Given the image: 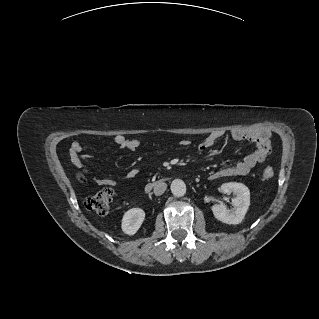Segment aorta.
<instances>
[{
	"label": "aorta",
	"mask_w": 319,
	"mask_h": 319,
	"mask_svg": "<svg viewBox=\"0 0 319 319\" xmlns=\"http://www.w3.org/2000/svg\"><path fill=\"white\" fill-rule=\"evenodd\" d=\"M170 187L172 194L176 197H182L186 193V184L181 179H174Z\"/></svg>",
	"instance_id": "obj_1"
}]
</instances>
